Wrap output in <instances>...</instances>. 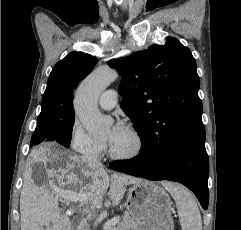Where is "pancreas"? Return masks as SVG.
I'll use <instances>...</instances> for the list:
<instances>
[{
    "mask_svg": "<svg viewBox=\"0 0 241 230\" xmlns=\"http://www.w3.org/2000/svg\"><path fill=\"white\" fill-rule=\"evenodd\" d=\"M139 224L136 220L132 219L129 216H124L121 222L111 230H137ZM87 223L85 220H82L78 225L76 230H86Z\"/></svg>",
    "mask_w": 241,
    "mask_h": 230,
    "instance_id": "pancreas-1",
    "label": "pancreas"
}]
</instances>
